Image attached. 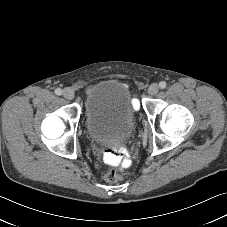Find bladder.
<instances>
[{"label":"bladder","mask_w":227,"mask_h":227,"mask_svg":"<svg viewBox=\"0 0 227 227\" xmlns=\"http://www.w3.org/2000/svg\"><path fill=\"white\" fill-rule=\"evenodd\" d=\"M86 128L90 138L107 146L129 141L136 117L130 90L118 82H103L92 88L85 101Z\"/></svg>","instance_id":"1"}]
</instances>
